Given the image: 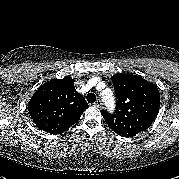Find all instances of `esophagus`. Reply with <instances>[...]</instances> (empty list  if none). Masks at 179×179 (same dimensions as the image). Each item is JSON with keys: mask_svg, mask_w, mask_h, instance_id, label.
Here are the masks:
<instances>
[{"mask_svg": "<svg viewBox=\"0 0 179 179\" xmlns=\"http://www.w3.org/2000/svg\"><path fill=\"white\" fill-rule=\"evenodd\" d=\"M94 105H95L96 107H101V106H102V101H101L100 99H97V100L95 101Z\"/></svg>", "mask_w": 179, "mask_h": 179, "instance_id": "obj_1", "label": "esophagus"}]
</instances>
